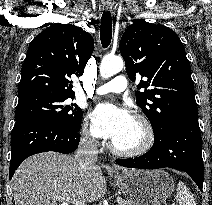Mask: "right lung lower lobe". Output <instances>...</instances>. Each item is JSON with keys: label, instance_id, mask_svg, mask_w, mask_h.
Listing matches in <instances>:
<instances>
[{"label": "right lung lower lobe", "instance_id": "obj_1", "mask_svg": "<svg viewBox=\"0 0 212 205\" xmlns=\"http://www.w3.org/2000/svg\"><path fill=\"white\" fill-rule=\"evenodd\" d=\"M79 130L45 117L24 118L16 121L12 133L9 179L29 156L41 152H74L78 147Z\"/></svg>", "mask_w": 212, "mask_h": 205}]
</instances>
